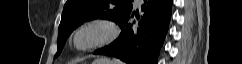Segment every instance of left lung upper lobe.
Instances as JSON below:
<instances>
[{
  "label": "left lung upper lobe",
  "instance_id": "1",
  "mask_svg": "<svg viewBox=\"0 0 242 64\" xmlns=\"http://www.w3.org/2000/svg\"><path fill=\"white\" fill-rule=\"evenodd\" d=\"M132 9V0H67L58 28L57 57L71 32L88 20L104 18L116 23Z\"/></svg>",
  "mask_w": 242,
  "mask_h": 64
}]
</instances>
